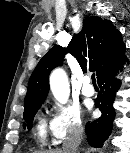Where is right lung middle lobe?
<instances>
[{
    "mask_svg": "<svg viewBox=\"0 0 130 153\" xmlns=\"http://www.w3.org/2000/svg\"><path fill=\"white\" fill-rule=\"evenodd\" d=\"M40 106H41V103L36 104V105H32V106L24 109L23 119L25 120L28 129L31 127L33 117L36 114V112L38 111V109L40 108ZM24 128H25V125H24Z\"/></svg>",
    "mask_w": 130,
    "mask_h": 153,
    "instance_id": "dd1d6c3e",
    "label": "right lung middle lobe"
}]
</instances>
